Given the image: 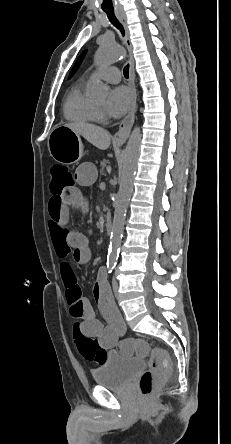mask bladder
<instances>
[{
    "instance_id": "1",
    "label": "bladder",
    "mask_w": 231,
    "mask_h": 444,
    "mask_svg": "<svg viewBox=\"0 0 231 444\" xmlns=\"http://www.w3.org/2000/svg\"><path fill=\"white\" fill-rule=\"evenodd\" d=\"M143 368L144 363L141 359L125 358L118 351H110L103 363L92 371V375L99 386L121 389Z\"/></svg>"
}]
</instances>
